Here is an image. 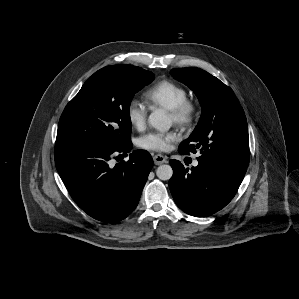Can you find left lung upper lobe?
<instances>
[{
    "label": "left lung upper lobe",
    "mask_w": 299,
    "mask_h": 299,
    "mask_svg": "<svg viewBox=\"0 0 299 299\" xmlns=\"http://www.w3.org/2000/svg\"><path fill=\"white\" fill-rule=\"evenodd\" d=\"M171 75L197 95L201 118L181 154L200 151L198 161L219 162L247 168L249 137L245 113L233 91L218 78L199 68H175Z\"/></svg>",
    "instance_id": "obj_1"
}]
</instances>
